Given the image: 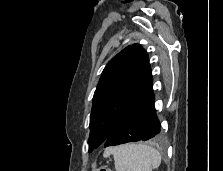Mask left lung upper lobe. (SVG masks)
<instances>
[{
    "label": "left lung upper lobe",
    "mask_w": 223,
    "mask_h": 171,
    "mask_svg": "<svg viewBox=\"0 0 223 171\" xmlns=\"http://www.w3.org/2000/svg\"><path fill=\"white\" fill-rule=\"evenodd\" d=\"M151 77L148 54L139 44L124 48L108 62L93 97L90 152L104 144Z\"/></svg>",
    "instance_id": "left-lung-upper-lobe-1"
}]
</instances>
